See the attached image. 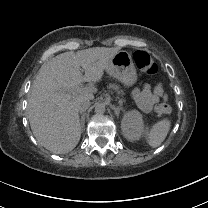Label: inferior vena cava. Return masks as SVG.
Instances as JSON below:
<instances>
[{
    "instance_id": "inferior-vena-cava-1",
    "label": "inferior vena cava",
    "mask_w": 208,
    "mask_h": 208,
    "mask_svg": "<svg viewBox=\"0 0 208 208\" xmlns=\"http://www.w3.org/2000/svg\"><path fill=\"white\" fill-rule=\"evenodd\" d=\"M90 107L89 99L85 97H79L77 100V108L79 112H84Z\"/></svg>"
}]
</instances>
